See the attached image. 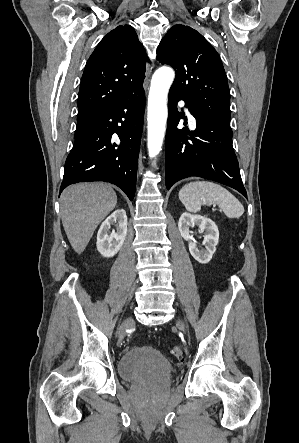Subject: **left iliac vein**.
Masks as SVG:
<instances>
[{"mask_svg": "<svg viewBox=\"0 0 299 443\" xmlns=\"http://www.w3.org/2000/svg\"><path fill=\"white\" fill-rule=\"evenodd\" d=\"M177 326L180 330H182L184 333H187V328L186 325L184 324V322L182 320H178L177 321Z\"/></svg>", "mask_w": 299, "mask_h": 443, "instance_id": "1", "label": "left iliac vein"}]
</instances>
